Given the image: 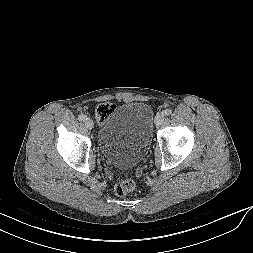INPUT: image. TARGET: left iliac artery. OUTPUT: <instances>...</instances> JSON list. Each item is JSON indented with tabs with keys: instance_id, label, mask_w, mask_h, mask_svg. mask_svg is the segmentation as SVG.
<instances>
[{
	"instance_id": "left-iliac-artery-1",
	"label": "left iliac artery",
	"mask_w": 253,
	"mask_h": 253,
	"mask_svg": "<svg viewBox=\"0 0 253 253\" xmlns=\"http://www.w3.org/2000/svg\"><path fill=\"white\" fill-rule=\"evenodd\" d=\"M163 113H164L165 116H169V115H171L172 110L171 109H166V110H164Z\"/></svg>"
}]
</instances>
